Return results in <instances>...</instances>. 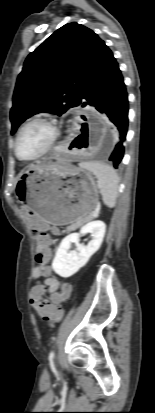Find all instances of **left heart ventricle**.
I'll return each mask as SVG.
<instances>
[{
  "label": "left heart ventricle",
  "mask_w": 155,
  "mask_h": 413,
  "mask_svg": "<svg viewBox=\"0 0 155 413\" xmlns=\"http://www.w3.org/2000/svg\"><path fill=\"white\" fill-rule=\"evenodd\" d=\"M53 135L50 125L35 122L24 129L19 140V153L25 158L38 155L49 144Z\"/></svg>",
  "instance_id": "obj_1"
}]
</instances>
